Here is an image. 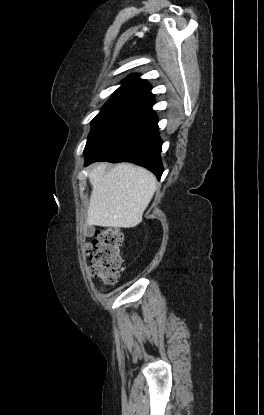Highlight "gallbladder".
Returning a JSON list of instances; mask_svg holds the SVG:
<instances>
[{
    "label": "gallbladder",
    "instance_id": "1",
    "mask_svg": "<svg viewBox=\"0 0 264 415\" xmlns=\"http://www.w3.org/2000/svg\"><path fill=\"white\" fill-rule=\"evenodd\" d=\"M91 233V228L88 230V234H90Z\"/></svg>",
    "mask_w": 264,
    "mask_h": 415
}]
</instances>
